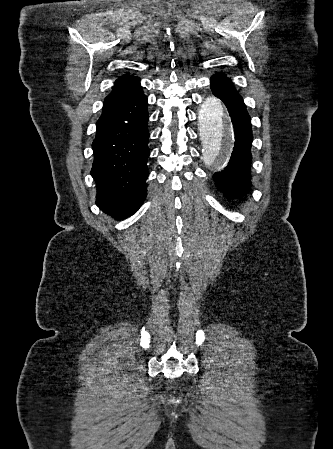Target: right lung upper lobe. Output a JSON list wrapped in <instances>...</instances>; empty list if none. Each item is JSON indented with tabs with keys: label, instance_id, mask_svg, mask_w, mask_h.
<instances>
[{
	"label": "right lung upper lobe",
	"instance_id": "right-lung-upper-lobe-1",
	"mask_svg": "<svg viewBox=\"0 0 333 449\" xmlns=\"http://www.w3.org/2000/svg\"><path fill=\"white\" fill-rule=\"evenodd\" d=\"M142 91L139 78L126 74L115 81L112 92L106 97L103 110L112 107Z\"/></svg>",
	"mask_w": 333,
	"mask_h": 449
}]
</instances>
